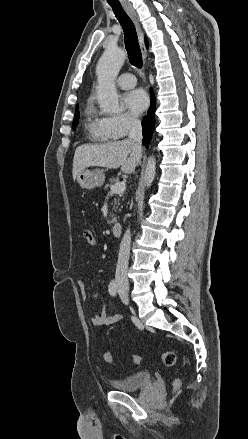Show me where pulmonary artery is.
<instances>
[{
  "label": "pulmonary artery",
  "instance_id": "1",
  "mask_svg": "<svg viewBox=\"0 0 248 439\" xmlns=\"http://www.w3.org/2000/svg\"><path fill=\"white\" fill-rule=\"evenodd\" d=\"M117 84L122 89H130L136 85V78L132 73H123L119 76Z\"/></svg>",
  "mask_w": 248,
  "mask_h": 439
}]
</instances>
